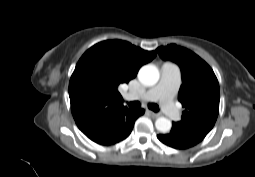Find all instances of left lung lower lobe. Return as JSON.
<instances>
[{"label":"left lung lower lobe","mask_w":255,"mask_h":177,"mask_svg":"<svg viewBox=\"0 0 255 177\" xmlns=\"http://www.w3.org/2000/svg\"><path fill=\"white\" fill-rule=\"evenodd\" d=\"M157 138L167 146L175 149H187L203 140V138L190 134L177 126L174 122L172 129L167 134H159Z\"/></svg>","instance_id":"obj_1"}]
</instances>
